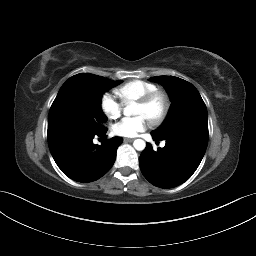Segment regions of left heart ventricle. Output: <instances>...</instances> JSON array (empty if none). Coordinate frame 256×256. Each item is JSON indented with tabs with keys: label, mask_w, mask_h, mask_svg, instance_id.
<instances>
[{
	"label": "left heart ventricle",
	"mask_w": 256,
	"mask_h": 256,
	"mask_svg": "<svg viewBox=\"0 0 256 256\" xmlns=\"http://www.w3.org/2000/svg\"><path fill=\"white\" fill-rule=\"evenodd\" d=\"M162 109V101L156 100L153 104L148 107L141 106L139 104L136 105L135 115L140 116L143 115L148 119L156 116Z\"/></svg>",
	"instance_id": "1"
}]
</instances>
